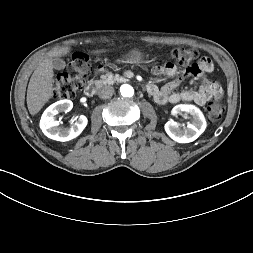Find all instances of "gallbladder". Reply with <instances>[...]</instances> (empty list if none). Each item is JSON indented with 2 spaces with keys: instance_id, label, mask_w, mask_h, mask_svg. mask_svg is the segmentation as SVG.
<instances>
[{
  "instance_id": "bac80fb5",
  "label": "gallbladder",
  "mask_w": 253,
  "mask_h": 253,
  "mask_svg": "<svg viewBox=\"0 0 253 253\" xmlns=\"http://www.w3.org/2000/svg\"><path fill=\"white\" fill-rule=\"evenodd\" d=\"M52 64H53V67L56 69V70H62L65 68L66 64L65 62L60 59V58H54L52 60Z\"/></svg>"
}]
</instances>
